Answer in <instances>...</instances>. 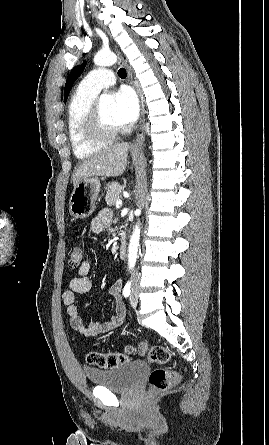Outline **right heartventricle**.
Masks as SVG:
<instances>
[{"label": "right heart ventricle", "mask_w": 269, "mask_h": 445, "mask_svg": "<svg viewBox=\"0 0 269 445\" xmlns=\"http://www.w3.org/2000/svg\"><path fill=\"white\" fill-rule=\"evenodd\" d=\"M97 95L82 90L75 91L67 110V134L72 151L76 158L84 160L101 151L108 141H93L89 139L83 130L85 117L94 104Z\"/></svg>", "instance_id": "right-heart-ventricle-1"}]
</instances>
